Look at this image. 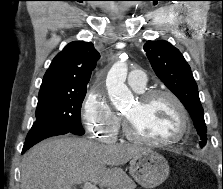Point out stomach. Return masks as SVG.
<instances>
[{"instance_id":"1","label":"stomach","mask_w":223,"mask_h":189,"mask_svg":"<svg viewBox=\"0 0 223 189\" xmlns=\"http://www.w3.org/2000/svg\"><path fill=\"white\" fill-rule=\"evenodd\" d=\"M129 172L138 184L151 189L166 180L169 165L162 155L146 150L131 159Z\"/></svg>"}]
</instances>
